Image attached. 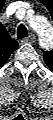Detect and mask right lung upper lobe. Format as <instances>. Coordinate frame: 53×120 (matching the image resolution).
<instances>
[{"mask_svg": "<svg viewBox=\"0 0 53 120\" xmlns=\"http://www.w3.org/2000/svg\"><path fill=\"white\" fill-rule=\"evenodd\" d=\"M18 48L16 40L12 39L5 27L0 29V65L5 64L10 54Z\"/></svg>", "mask_w": 53, "mask_h": 120, "instance_id": "obj_1", "label": "right lung upper lobe"}]
</instances>
